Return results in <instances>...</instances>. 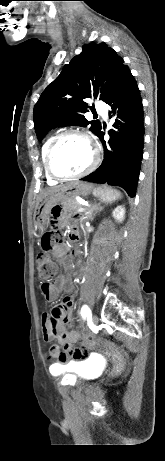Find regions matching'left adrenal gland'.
<instances>
[{"mask_svg": "<svg viewBox=\"0 0 165 461\" xmlns=\"http://www.w3.org/2000/svg\"><path fill=\"white\" fill-rule=\"evenodd\" d=\"M103 210V207L100 206V203L99 204H95L88 212H87V216L92 219L93 218V212L95 211V213L99 212Z\"/></svg>", "mask_w": 165, "mask_h": 461, "instance_id": "obj_1", "label": "left adrenal gland"}]
</instances>
